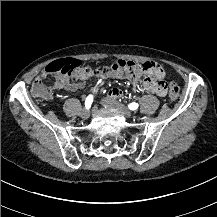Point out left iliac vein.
<instances>
[{
	"mask_svg": "<svg viewBox=\"0 0 217 217\" xmlns=\"http://www.w3.org/2000/svg\"><path fill=\"white\" fill-rule=\"evenodd\" d=\"M101 105L104 106V107H110V108H113L117 111H120L122 114H124L126 117H131L132 116V112L127 109L124 105L122 104H119L117 102H115L114 100L112 99H109V98H103L101 100Z\"/></svg>",
	"mask_w": 217,
	"mask_h": 217,
	"instance_id": "1",
	"label": "left iliac vein"
}]
</instances>
